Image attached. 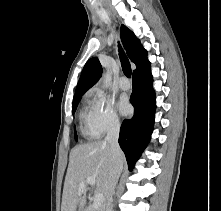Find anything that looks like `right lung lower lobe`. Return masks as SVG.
Wrapping results in <instances>:
<instances>
[{"instance_id":"98d812e1","label":"right lung lower lobe","mask_w":221,"mask_h":211,"mask_svg":"<svg viewBox=\"0 0 221 211\" xmlns=\"http://www.w3.org/2000/svg\"><path fill=\"white\" fill-rule=\"evenodd\" d=\"M150 65L133 73V92L130 102L134 106V116L125 119L120 128L119 144L124 151L129 170L148 144L153 131L155 92L152 88Z\"/></svg>"}]
</instances>
